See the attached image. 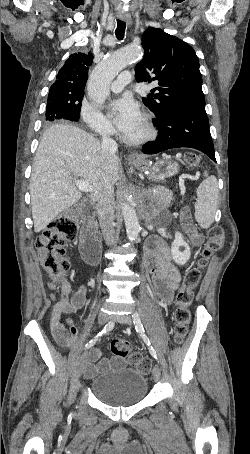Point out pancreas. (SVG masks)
<instances>
[{
    "instance_id": "cf45deb5",
    "label": "pancreas",
    "mask_w": 250,
    "mask_h": 454,
    "mask_svg": "<svg viewBox=\"0 0 250 454\" xmlns=\"http://www.w3.org/2000/svg\"><path fill=\"white\" fill-rule=\"evenodd\" d=\"M159 199L161 200V203H162L163 205H168V204L170 203V201H171L172 198H171V194H170V193H167L166 195H165V194L160 195V196H159Z\"/></svg>"
}]
</instances>
